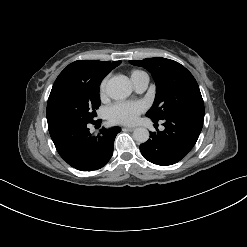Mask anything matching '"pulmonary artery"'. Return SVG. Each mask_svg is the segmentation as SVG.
Listing matches in <instances>:
<instances>
[{
    "label": "pulmonary artery",
    "instance_id": "pulmonary-artery-1",
    "mask_svg": "<svg viewBox=\"0 0 247 247\" xmlns=\"http://www.w3.org/2000/svg\"><path fill=\"white\" fill-rule=\"evenodd\" d=\"M148 76H141L132 81L133 88L136 92L142 93L146 90L148 85Z\"/></svg>",
    "mask_w": 247,
    "mask_h": 247
}]
</instances>
